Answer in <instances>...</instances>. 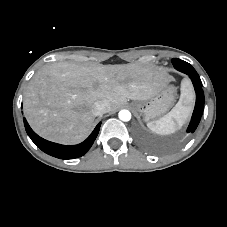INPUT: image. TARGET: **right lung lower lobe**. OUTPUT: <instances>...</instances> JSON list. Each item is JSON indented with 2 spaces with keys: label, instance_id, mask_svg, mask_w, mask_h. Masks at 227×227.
Here are the masks:
<instances>
[{
  "label": "right lung lower lobe",
  "instance_id": "right-lung-lower-lobe-1",
  "mask_svg": "<svg viewBox=\"0 0 227 227\" xmlns=\"http://www.w3.org/2000/svg\"><path fill=\"white\" fill-rule=\"evenodd\" d=\"M23 120L26 132L31 140L35 143V145L45 153L60 159H73L83 156L92 146L101 126V123H99L91 133V135L84 142L78 145L66 146L41 138L31 129L26 119L24 118Z\"/></svg>",
  "mask_w": 227,
  "mask_h": 227
}]
</instances>
